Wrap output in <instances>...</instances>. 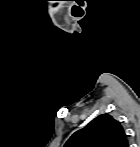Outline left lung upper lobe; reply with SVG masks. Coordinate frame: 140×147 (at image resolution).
Masks as SVG:
<instances>
[{"instance_id":"left-lung-upper-lobe-1","label":"left lung upper lobe","mask_w":140,"mask_h":147,"mask_svg":"<svg viewBox=\"0 0 140 147\" xmlns=\"http://www.w3.org/2000/svg\"><path fill=\"white\" fill-rule=\"evenodd\" d=\"M122 125L109 114H102L75 132L65 147H128Z\"/></svg>"}]
</instances>
